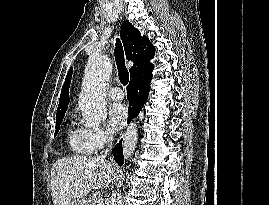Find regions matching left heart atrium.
Returning <instances> with one entry per match:
<instances>
[{
	"label": "left heart atrium",
	"instance_id": "1",
	"mask_svg": "<svg viewBox=\"0 0 269 205\" xmlns=\"http://www.w3.org/2000/svg\"><path fill=\"white\" fill-rule=\"evenodd\" d=\"M128 117L127 108L122 103H114L108 111V125L111 132L119 131Z\"/></svg>",
	"mask_w": 269,
	"mask_h": 205
}]
</instances>
